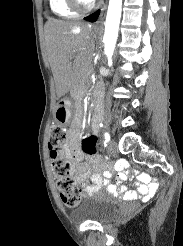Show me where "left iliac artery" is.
<instances>
[{
    "mask_svg": "<svg viewBox=\"0 0 183 246\" xmlns=\"http://www.w3.org/2000/svg\"><path fill=\"white\" fill-rule=\"evenodd\" d=\"M104 138H105V146L107 145V143L110 141V135L108 132L104 133Z\"/></svg>",
    "mask_w": 183,
    "mask_h": 246,
    "instance_id": "obj_1",
    "label": "left iliac artery"
}]
</instances>
